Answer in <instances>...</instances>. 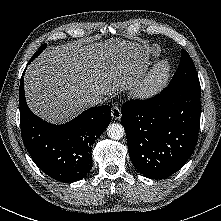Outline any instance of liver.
<instances>
[{
  "instance_id": "6515ba94",
  "label": "liver",
  "mask_w": 221,
  "mask_h": 221,
  "mask_svg": "<svg viewBox=\"0 0 221 221\" xmlns=\"http://www.w3.org/2000/svg\"><path fill=\"white\" fill-rule=\"evenodd\" d=\"M147 60L143 46L118 38L51 46L26 70L27 103L42 119L63 123L88 108L89 97L135 87Z\"/></svg>"
}]
</instances>
